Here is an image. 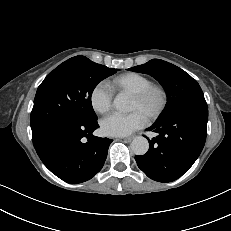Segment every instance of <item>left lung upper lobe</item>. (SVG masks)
I'll return each instance as SVG.
<instances>
[{"instance_id": "5c2ea615", "label": "left lung upper lobe", "mask_w": 231, "mask_h": 231, "mask_svg": "<svg viewBox=\"0 0 231 231\" xmlns=\"http://www.w3.org/2000/svg\"><path fill=\"white\" fill-rule=\"evenodd\" d=\"M153 76L165 89L167 104L157 121H161L175 111L193 104L206 102L201 87L195 79L179 67L160 59L128 69Z\"/></svg>"}]
</instances>
